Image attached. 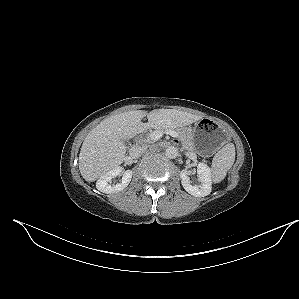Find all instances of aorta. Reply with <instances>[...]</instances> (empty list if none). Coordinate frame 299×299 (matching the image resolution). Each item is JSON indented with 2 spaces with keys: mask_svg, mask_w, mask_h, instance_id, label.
<instances>
[{
  "mask_svg": "<svg viewBox=\"0 0 299 299\" xmlns=\"http://www.w3.org/2000/svg\"><path fill=\"white\" fill-rule=\"evenodd\" d=\"M165 155L170 158L174 159L178 156V148L175 146H169L165 150Z\"/></svg>",
  "mask_w": 299,
  "mask_h": 299,
  "instance_id": "1",
  "label": "aorta"
}]
</instances>
